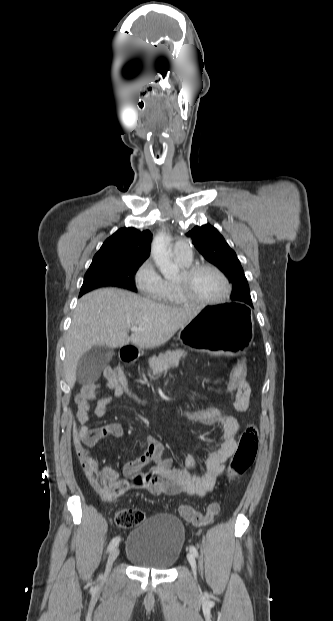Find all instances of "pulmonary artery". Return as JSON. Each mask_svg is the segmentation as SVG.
Wrapping results in <instances>:
<instances>
[{"label": "pulmonary artery", "mask_w": 333, "mask_h": 621, "mask_svg": "<svg viewBox=\"0 0 333 621\" xmlns=\"http://www.w3.org/2000/svg\"><path fill=\"white\" fill-rule=\"evenodd\" d=\"M173 254L176 258L189 262L192 261V248L188 241L178 240L173 246Z\"/></svg>", "instance_id": "e3ab8cb5"}]
</instances>
